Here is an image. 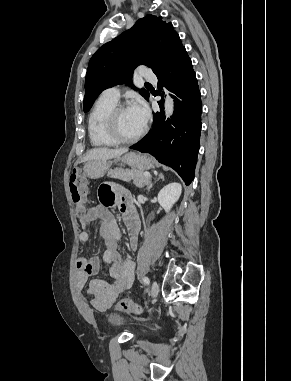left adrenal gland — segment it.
<instances>
[{
	"instance_id": "1",
	"label": "left adrenal gland",
	"mask_w": 291,
	"mask_h": 381,
	"mask_svg": "<svg viewBox=\"0 0 291 381\" xmlns=\"http://www.w3.org/2000/svg\"><path fill=\"white\" fill-rule=\"evenodd\" d=\"M159 179H162V180H164V176H163V174H162V173H160V174H159ZM146 185H147V187H146V190H147V191H150V189H151V188H152V186H153V183H152V182H150V183H147Z\"/></svg>"
}]
</instances>
